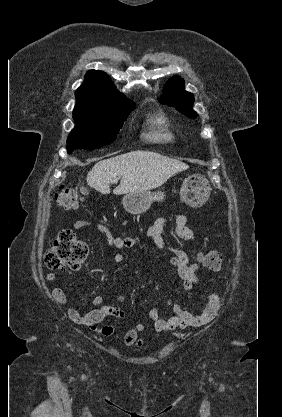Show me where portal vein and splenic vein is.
<instances>
[{"instance_id": "1", "label": "portal vein and splenic vein", "mask_w": 282, "mask_h": 417, "mask_svg": "<svg viewBox=\"0 0 282 417\" xmlns=\"http://www.w3.org/2000/svg\"><path fill=\"white\" fill-rule=\"evenodd\" d=\"M113 182H117V178H115V180H113Z\"/></svg>"}]
</instances>
